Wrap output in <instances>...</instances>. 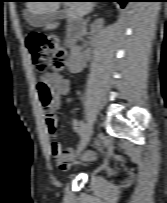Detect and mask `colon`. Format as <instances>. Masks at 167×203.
<instances>
[{
    "mask_svg": "<svg viewBox=\"0 0 167 203\" xmlns=\"http://www.w3.org/2000/svg\"><path fill=\"white\" fill-rule=\"evenodd\" d=\"M26 46L32 64L37 71H61L66 67L65 50L60 46L57 39L31 34L27 39ZM37 90L44 111L49 112V104L54 98L50 85L45 80H41L37 84Z\"/></svg>",
    "mask_w": 167,
    "mask_h": 203,
    "instance_id": "obj_1",
    "label": "colon"
}]
</instances>
